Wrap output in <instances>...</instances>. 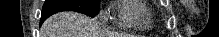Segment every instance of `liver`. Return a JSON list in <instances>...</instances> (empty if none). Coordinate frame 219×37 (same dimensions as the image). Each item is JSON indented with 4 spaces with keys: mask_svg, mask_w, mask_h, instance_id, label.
<instances>
[{
    "mask_svg": "<svg viewBox=\"0 0 219 37\" xmlns=\"http://www.w3.org/2000/svg\"><path fill=\"white\" fill-rule=\"evenodd\" d=\"M43 37H99L95 20L76 12L64 11L49 17L41 28Z\"/></svg>",
    "mask_w": 219,
    "mask_h": 37,
    "instance_id": "liver-1",
    "label": "liver"
}]
</instances>
